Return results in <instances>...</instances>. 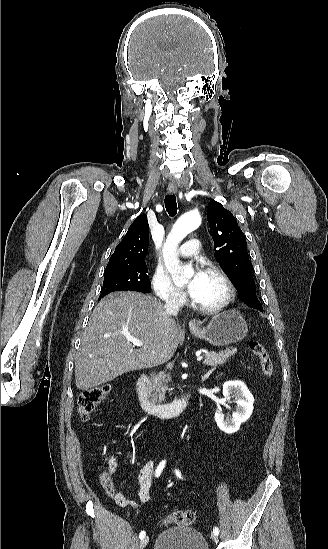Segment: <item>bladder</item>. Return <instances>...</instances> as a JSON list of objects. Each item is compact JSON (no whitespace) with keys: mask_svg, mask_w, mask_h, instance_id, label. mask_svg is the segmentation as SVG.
Here are the masks:
<instances>
[{"mask_svg":"<svg viewBox=\"0 0 328 549\" xmlns=\"http://www.w3.org/2000/svg\"><path fill=\"white\" fill-rule=\"evenodd\" d=\"M155 549H208L205 537L197 528L177 526L162 531L155 541Z\"/></svg>","mask_w":328,"mask_h":549,"instance_id":"31cf9c89","label":"bladder"}]
</instances>
